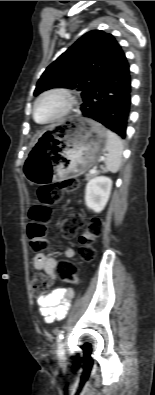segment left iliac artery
Here are the masks:
<instances>
[{"label":"left iliac artery","instance_id":"1","mask_svg":"<svg viewBox=\"0 0 155 395\" xmlns=\"http://www.w3.org/2000/svg\"><path fill=\"white\" fill-rule=\"evenodd\" d=\"M63 331H60L59 332V334H58V336H57V343L59 344L61 341H62V339H63Z\"/></svg>","mask_w":155,"mask_h":395}]
</instances>
